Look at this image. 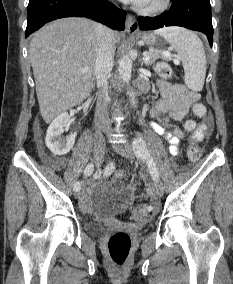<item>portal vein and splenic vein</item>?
I'll list each match as a JSON object with an SVG mask.
<instances>
[{"mask_svg":"<svg viewBox=\"0 0 233 284\" xmlns=\"http://www.w3.org/2000/svg\"><path fill=\"white\" fill-rule=\"evenodd\" d=\"M163 55H164L165 57H167L169 54H168V53H163ZM167 58H169V57H167ZM149 60H150V56L147 55V54H144L143 61L146 63V62H148ZM174 63H175V64H179V60H178V59L174 60ZM86 72H87L86 69H82V73H86Z\"/></svg>","mask_w":233,"mask_h":284,"instance_id":"portal-vein-and-splenic-vein-1","label":"portal vein and splenic vein"}]
</instances>
